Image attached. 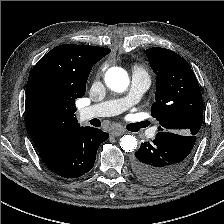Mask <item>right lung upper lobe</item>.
<instances>
[{"label": "right lung upper lobe", "mask_w": 224, "mask_h": 224, "mask_svg": "<svg viewBox=\"0 0 224 224\" xmlns=\"http://www.w3.org/2000/svg\"><path fill=\"white\" fill-rule=\"evenodd\" d=\"M110 49L63 44L53 48L33 67L26 86V122L36 149H41L67 128L79 126L75 116V99L82 97L92 66L110 53ZM48 86L54 106L48 111L38 109L34 94Z\"/></svg>", "instance_id": "cb5924a9"}]
</instances>
